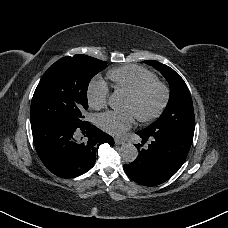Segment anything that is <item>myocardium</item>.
<instances>
[{
    "label": "myocardium",
    "mask_w": 228,
    "mask_h": 228,
    "mask_svg": "<svg viewBox=\"0 0 228 228\" xmlns=\"http://www.w3.org/2000/svg\"><path fill=\"white\" fill-rule=\"evenodd\" d=\"M153 88H158V90L160 91L159 101L157 103L155 110L151 114L145 117H140V116L137 117V119L141 122H145V123L152 122L160 116V114L162 113L166 105L168 90L164 84L154 81L152 83H149L143 86L138 91H136L135 93L129 96V99L131 101L137 103V102H140L145 97V95Z\"/></svg>",
    "instance_id": "obj_1"
}]
</instances>
